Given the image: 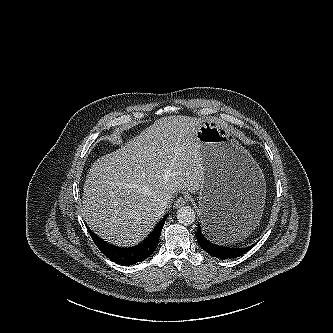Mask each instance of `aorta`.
<instances>
[{"label": "aorta", "mask_w": 333, "mask_h": 333, "mask_svg": "<svg viewBox=\"0 0 333 333\" xmlns=\"http://www.w3.org/2000/svg\"><path fill=\"white\" fill-rule=\"evenodd\" d=\"M196 213L195 211L189 207L184 206L178 209L177 211V219L179 223L183 225H190L195 221Z\"/></svg>", "instance_id": "aorta-1"}]
</instances>
